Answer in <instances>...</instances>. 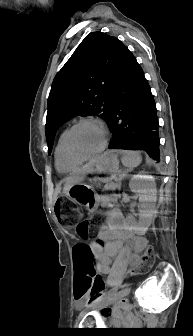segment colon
I'll use <instances>...</instances> for the list:
<instances>
[{"instance_id": "colon-1", "label": "colon", "mask_w": 193, "mask_h": 336, "mask_svg": "<svg viewBox=\"0 0 193 336\" xmlns=\"http://www.w3.org/2000/svg\"><path fill=\"white\" fill-rule=\"evenodd\" d=\"M56 208L60 221L66 228H74L78 236L83 240L91 238L96 228L95 223L89 220H80L79 214L74 212L75 207L72 200L60 198L56 202ZM153 259L154 250L149 247L140 259L139 268L141 270L148 268ZM74 260L76 269L80 274V281H78L76 286V295L78 298L86 297V300H89L92 296L85 294V285L89 282L101 284L89 247L85 244L77 245L74 248Z\"/></svg>"}]
</instances>
